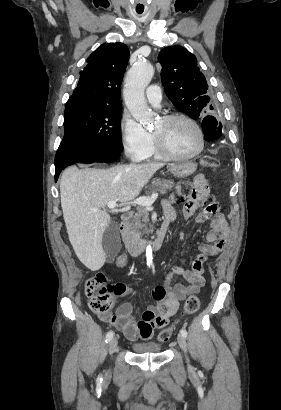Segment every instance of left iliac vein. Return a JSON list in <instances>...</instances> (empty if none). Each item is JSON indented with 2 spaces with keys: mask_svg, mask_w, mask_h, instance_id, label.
I'll return each instance as SVG.
<instances>
[{
  "mask_svg": "<svg viewBox=\"0 0 281 410\" xmlns=\"http://www.w3.org/2000/svg\"><path fill=\"white\" fill-rule=\"evenodd\" d=\"M177 342H178L180 348L182 349V351L185 353L186 361L188 363V366L191 367L190 364H189V359L187 357V343H186L185 338L181 334H179L177 336Z\"/></svg>",
  "mask_w": 281,
  "mask_h": 410,
  "instance_id": "left-iliac-vein-1",
  "label": "left iliac vein"
}]
</instances>
